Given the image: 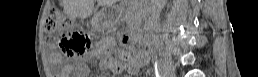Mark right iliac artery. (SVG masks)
<instances>
[{"mask_svg": "<svg viewBox=\"0 0 258 77\" xmlns=\"http://www.w3.org/2000/svg\"><path fill=\"white\" fill-rule=\"evenodd\" d=\"M156 77H161V75L158 73V71L156 73Z\"/></svg>", "mask_w": 258, "mask_h": 77, "instance_id": "82829eb1", "label": "right iliac artery"}]
</instances>
